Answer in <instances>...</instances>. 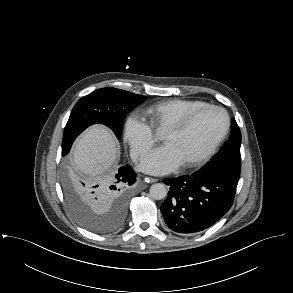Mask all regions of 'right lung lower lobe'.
Masks as SVG:
<instances>
[{
	"label": "right lung lower lobe",
	"mask_w": 293,
	"mask_h": 293,
	"mask_svg": "<svg viewBox=\"0 0 293 293\" xmlns=\"http://www.w3.org/2000/svg\"><path fill=\"white\" fill-rule=\"evenodd\" d=\"M136 174L129 165L121 166L118 171L102 183H81V198L84 204L111 219L121 223L109 230L113 232L123 223L127 213V191L136 181Z\"/></svg>",
	"instance_id": "1"
}]
</instances>
